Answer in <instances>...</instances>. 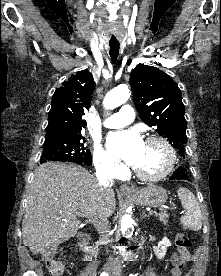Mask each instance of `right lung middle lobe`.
Instances as JSON below:
<instances>
[{
	"instance_id": "dd1d6c3e",
	"label": "right lung middle lobe",
	"mask_w": 221,
	"mask_h": 276,
	"mask_svg": "<svg viewBox=\"0 0 221 276\" xmlns=\"http://www.w3.org/2000/svg\"><path fill=\"white\" fill-rule=\"evenodd\" d=\"M81 132L51 134L45 136L40 163L47 161H70L91 164L90 150L84 147Z\"/></svg>"
}]
</instances>
